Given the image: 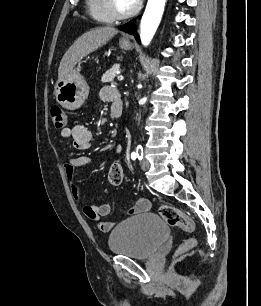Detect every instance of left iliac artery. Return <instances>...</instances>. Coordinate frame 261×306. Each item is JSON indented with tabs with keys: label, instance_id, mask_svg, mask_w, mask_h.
<instances>
[{
	"label": "left iliac artery",
	"instance_id": "1",
	"mask_svg": "<svg viewBox=\"0 0 261 306\" xmlns=\"http://www.w3.org/2000/svg\"><path fill=\"white\" fill-rule=\"evenodd\" d=\"M131 158L132 160H142L143 158V148L141 145H138L137 148H136V152H132L131 153Z\"/></svg>",
	"mask_w": 261,
	"mask_h": 306
}]
</instances>
